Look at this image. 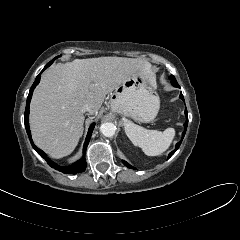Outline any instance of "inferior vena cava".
<instances>
[{
  "mask_svg": "<svg viewBox=\"0 0 240 240\" xmlns=\"http://www.w3.org/2000/svg\"><path fill=\"white\" fill-rule=\"evenodd\" d=\"M91 110V108H90V106L89 105H84L83 107H82V112H89Z\"/></svg>",
  "mask_w": 240,
  "mask_h": 240,
  "instance_id": "1",
  "label": "inferior vena cava"
}]
</instances>
